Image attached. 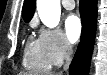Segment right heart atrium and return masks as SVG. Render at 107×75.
I'll use <instances>...</instances> for the list:
<instances>
[{"label":"right heart atrium","instance_id":"obj_1","mask_svg":"<svg viewBox=\"0 0 107 75\" xmlns=\"http://www.w3.org/2000/svg\"><path fill=\"white\" fill-rule=\"evenodd\" d=\"M38 40L52 66L61 65L72 54L71 44L59 29H41Z\"/></svg>","mask_w":107,"mask_h":75}]
</instances>
